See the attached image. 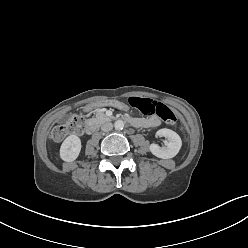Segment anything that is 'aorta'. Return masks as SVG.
<instances>
[{
    "label": "aorta",
    "mask_w": 248,
    "mask_h": 248,
    "mask_svg": "<svg viewBox=\"0 0 248 248\" xmlns=\"http://www.w3.org/2000/svg\"><path fill=\"white\" fill-rule=\"evenodd\" d=\"M114 127L117 130H122L124 128V122L122 120H117L114 123Z\"/></svg>",
    "instance_id": "aorta-1"
}]
</instances>
